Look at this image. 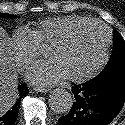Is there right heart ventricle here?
<instances>
[{
	"mask_svg": "<svg viewBox=\"0 0 125 125\" xmlns=\"http://www.w3.org/2000/svg\"><path fill=\"white\" fill-rule=\"evenodd\" d=\"M88 19L90 18L75 15L48 18L38 22L33 32L42 46H50L69 27Z\"/></svg>",
	"mask_w": 125,
	"mask_h": 125,
	"instance_id": "right-heart-ventricle-1",
	"label": "right heart ventricle"
}]
</instances>
